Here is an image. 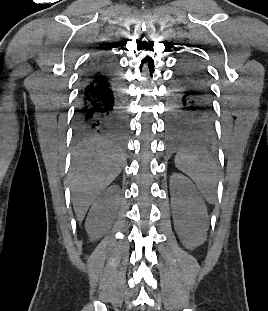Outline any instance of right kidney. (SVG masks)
<instances>
[{
    "instance_id": "1",
    "label": "right kidney",
    "mask_w": 268,
    "mask_h": 311,
    "mask_svg": "<svg viewBox=\"0 0 268 311\" xmlns=\"http://www.w3.org/2000/svg\"><path fill=\"white\" fill-rule=\"evenodd\" d=\"M120 201V187L112 185L92 204L85 222V229L91 240L102 237L110 229L118 214Z\"/></svg>"
}]
</instances>
